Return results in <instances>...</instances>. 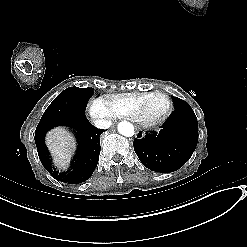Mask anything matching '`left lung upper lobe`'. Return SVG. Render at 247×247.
Wrapping results in <instances>:
<instances>
[{
  "label": "left lung upper lobe",
  "instance_id": "5c2ea615",
  "mask_svg": "<svg viewBox=\"0 0 247 247\" xmlns=\"http://www.w3.org/2000/svg\"><path fill=\"white\" fill-rule=\"evenodd\" d=\"M172 99L174 101L175 110L176 109L187 108V107L189 108L190 107V105L187 102H185V101H183V100H181V99H179L177 97H173L172 96Z\"/></svg>",
  "mask_w": 247,
  "mask_h": 247
}]
</instances>
